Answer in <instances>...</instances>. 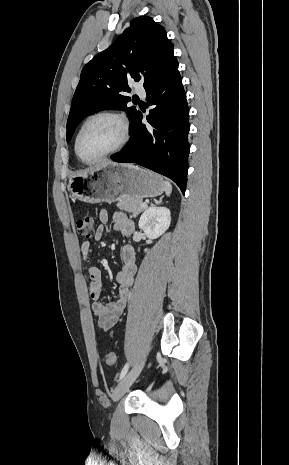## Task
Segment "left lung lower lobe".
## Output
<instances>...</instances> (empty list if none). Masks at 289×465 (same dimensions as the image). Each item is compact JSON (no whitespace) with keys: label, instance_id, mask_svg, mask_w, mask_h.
<instances>
[{"label":"left lung lower lobe","instance_id":"1","mask_svg":"<svg viewBox=\"0 0 289 465\" xmlns=\"http://www.w3.org/2000/svg\"><path fill=\"white\" fill-rule=\"evenodd\" d=\"M150 126L138 111L130 126L129 145L115 153V162L136 163L172 179L185 193L190 145L189 109L182 79L175 68L154 85L145 88Z\"/></svg>","mask_w":289,"mask_h":465}]
</instances>
